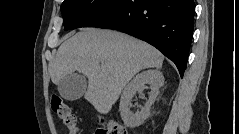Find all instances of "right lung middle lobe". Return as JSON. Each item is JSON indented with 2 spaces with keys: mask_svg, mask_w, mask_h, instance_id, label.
I'll list each match as a JSON object with an SVG mask.
<instances>
[{
  "mask_svg": "<svg viewBox=\"0 0 239 134\" xmlns=\"http://www.w3.org/2000/svg\"><path fill=\"white\" fill-rule=\"evenodd\" d=\"M116 0H64L61 5L64 30L83 27L91 18Z\"/></svg>",
  "mask_w": 239,
  "mask_h": 134,
  "instance_id": "obj_1",
  "label": "right lung middle lobe"
}]
</instances>
